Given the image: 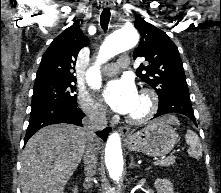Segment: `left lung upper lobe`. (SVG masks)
Returning a JSON list of instances; mask_svg holds the SVG:
<instances>
[{
  "label": "left lung upper lobe",
  "instance_id": "obj_1",
  "mask_svg": "<svg viewBox=\"0 0 221 193\" xmlns=\"http://www.w3.org/2000/svg\"><path fill=\"white\" fill-rule=\"evenodd\" d=\"M134 25L140 32L141 41L133 57H145L148 61V65L138 67L136 74L156 91L159 103L179 91L188 92L177 46L164 31L140 16H136Z\"/></svg>",
  "mask_w": 221,
  "mask_h": 193
}]
</instances>
